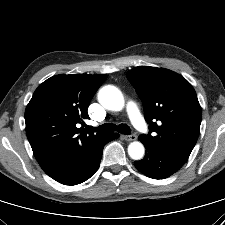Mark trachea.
Returning a JSON list of instances; mask_svg holds the SVG:
<instances>
[{"instance_id":"1","label":"trachea","mask_w":225,"mask_h":225,"mask_svg":"<svg viewBox=\"0 0 225 225\" xmlns=\"http://www.w3.org/2000/svg\"><path fill=\"white\" fill-rule=\"evenodd\" d=\"M88 130L93 132H113L117 130L119 133L125 135H130L131 133L130 127L127 124H119L116 126L115 124L107 123L100 125L99 127L89 126Z\"/></svg>"}]
</instances>
